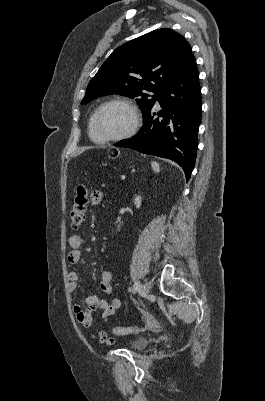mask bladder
Wrapping results in <instances>:
<instances>
[{
  "label": "bladder",
  "instance_id": "1",
  "mask_svg": "<svg viewBox=\"0 0 265 401\" xmlns=\"http://www.w3.org/2000/svg\"><path fill=\"white\" fill-rule=\"evenodd\" d=\"M149 343H150L149 338L137 337L130 342V349L143 350L149 345Z\"/></svg>",
  "mask_w": 265,
  "mask_h": 401
}]
</instances>
